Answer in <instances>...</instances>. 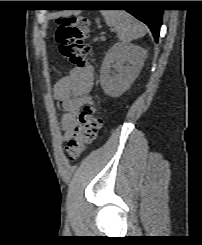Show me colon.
I'll list each match as a JSON object with an SVG mask.
<instances>
[{"mask_svg": "<svg viewBox=\"0 0 202 245\" xmlns=\"http://www.w3.org/2000/svg\"><path fill=\"white\" fill-rule=\"evenodd\" d=\"M55 40L60 56L71 64L84 67L92 59V47L83 44L89 33L86 17L58 18ZM103 115L95 105H87L80 115L79 125L66 145L70 161L75 162L96 139L102 126Z\"/></svg>", "mask_w": 202, "mask_h": 245, "instance_id": "obj_1", "label": "colon"}]
</instances>
